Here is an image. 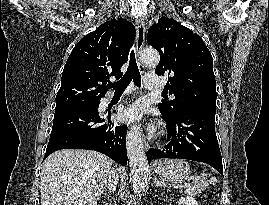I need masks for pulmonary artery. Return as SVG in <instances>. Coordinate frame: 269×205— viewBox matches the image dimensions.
I'll list each match as a JSON object with an SVG mask.
<instances>
[{
    "mask_svg": "<svg viewBox=\"0 0 269 205\" xmlns=\"http://www.w3.org/2000/svg\"><path fill=\"white\" fill-rule=\"evenodd\" d=\"M143 84L145 88L149 90L159 89L162 87V79L157 76L145 75L143 77ZM111 99H112L111 95L107 96L106 99L104 100V103L109 102Z\"/></svg>",
    "mask_w": 269,
    "mask_h": 205,
    "instance_id": "e3ab8cb5",
    "label": "pulmonary artery"
}]
</instances>
